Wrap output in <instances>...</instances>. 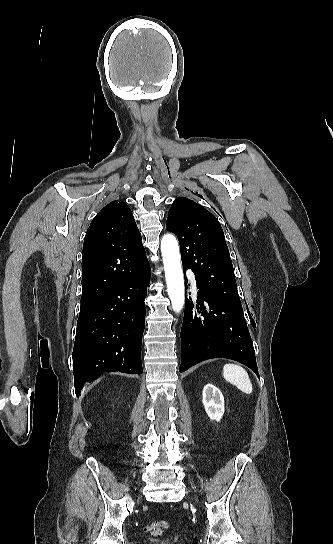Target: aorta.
<instances>
[{"instance_id":"obj_1","label":"aorta","mask_w":333,"mask_h":544,"mask_svg":"<svg viewBox=\"0 0 333 544\" xmlns=\"http://www.w3.org/2000/svg\"><path fill=\"white\" fill-rule=\"evenodd\" d=\"M161 252L163 257L168 295L174 311L182 310L185 300L184 278L181 267L179 246L176 238L165 235L161 240Z\"/></svg>"}]
</instances>
